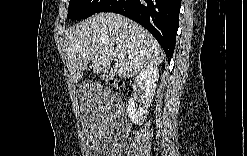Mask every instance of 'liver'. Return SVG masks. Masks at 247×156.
Listing matches in <instances>:
<instances>
[{"label":"liver","mask_w":247,"mask_h":156,"mask_svg":"<svg viewBox=\"0 0 247 156\" xmlns=\"http://www.w3.org/2000/svg\"><path fill=\"white\" fill-rule=\"evenodd\" d=\"M67 67L71 80L83 77L87 64L94 73H107L116 60V75L130 78L147 65L164 60L156 39L139 24L120 14L98 13L65 32Z\"/></svg>","instance_id":"obj_1"}]
</instances>
